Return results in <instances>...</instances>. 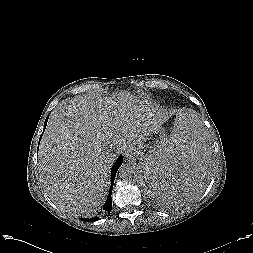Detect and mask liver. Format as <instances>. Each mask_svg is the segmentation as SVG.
Here are the masks:
<instances>
[{
  "instance_id": "1",
  "label": "liver",
  "mask_w": 253,
  "mask_h": 253,
  "mask_svg": "<svg viewBox=\"0 0 253 253\" xmlns=\"http://www.w3.org/2000/svg\"><path fill=\"white\" fill-rule=\"evenodd\" d=\"M136 102L133 94L123 91L111 97L66 99L52 111L38 168L58 208L74 216H93L106 200L109 171L118 154L168 120L164 110Z\"/></svg>"
}]
</instances>
